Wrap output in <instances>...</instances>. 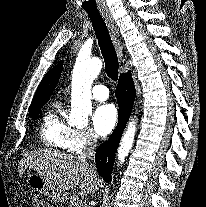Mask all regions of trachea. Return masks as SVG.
<instances>
[{"instance_id": "trachea-1", "label": "trachea", "mask_w": 206, "mask_h": 207, "mask_svg": "<svg viewBox=\"0 0 206 207\" xmlns=\"http://www.w3.org/2000/svg\"><path fill=\"white\" fill-rule=\"evenodd\" d=\"M87 13L91 19L104 58L106 74L113 81H117L119 74L118 57L105 21L98 11H87Z\"/></svg>"}]
</instances>
